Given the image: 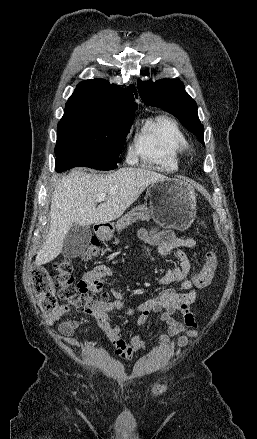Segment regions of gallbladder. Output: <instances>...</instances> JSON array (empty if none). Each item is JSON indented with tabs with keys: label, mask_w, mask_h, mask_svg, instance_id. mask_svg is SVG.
<instances>
[{
	"label": "gallbladder",
	"mask_w": 257,
	"mask_h": 439,
	"mask_svg": "<svg viewBox=\"0 0 257 439\" xmlns=\"http://www.w3.org/2000/svg\"><path fill=\"white\" fill-rule=\"evenodd\" d=\"M91 236L89 226L73 225L64 238L63 256L77 257L81 255L89 245Z\"/></svg>",
	"instance_id": "obj_1"
}]
</instances>
